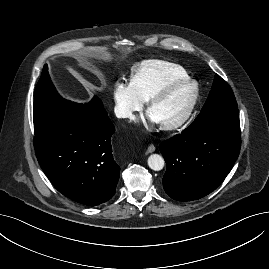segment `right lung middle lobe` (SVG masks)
I'll return each mask as SVG.
<instances>
[{"mask_svg": "<svg viewBox=\"0 0 269 269\" xmlns=\"http://www.w3.org/2000/svg\"><path fill=\"white\" fill-rule=\"evenodd\" d=\"M81 105H86L89 108L105 112L101 100L94 98L86 104H76L57 96L55 87L53 86L48 70L42 71L41 78L35 90V98L33 105V121L34 133L40 134L48 128L60 123L62 120L78 111Z\"/></svg>", "mask_w": 269, "mask_h": 269, "instance_id": "dd1d6c3e", "label": "right lung middle lobe"}]
</instances>
